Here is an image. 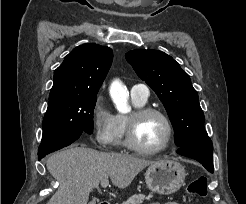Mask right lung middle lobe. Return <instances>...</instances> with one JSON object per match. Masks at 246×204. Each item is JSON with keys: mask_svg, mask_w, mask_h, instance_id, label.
I'll return each instance as SVG.
<instances>
[{"mask_svg": "<svg viewBox=\"0 0 246 204\" xmlns=\"http://www.w3.org/2000/svg\"><path fill=\"white\" fill-rule=\"evenodd\" d=\"M96 100L93 94L49 101L38 157L70 145L82 132L91 134Z\"/></svg>", "mask_w": 246, "mask_h": 204, "instance_id": "right-lung-middle-lobe-1", "label": "right lung middle lobe"}]
</instances>
